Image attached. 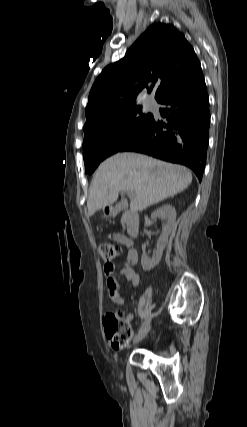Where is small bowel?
I'll list each match as a JSON object with an SVG mask.
<instances>
[{
    "instance_id": "small-bowel-1",
    "label": "small bowel",
    "mask_w": 247,
    "mask_h": 427,
    "mask_svg": "<svg viewBox=\"0 0 247 427\" xmlns=\"http://www.w3.org/2000/svg\"><path fill=\"white\" fill-rule=\"evenodd\" d=\"M114 239L127 247L129 251L127 253L126 259L122 268L120 269V274L126 278V280L133 286L137 287L140 282L139 273L134 269V266L138 262V253L132 248V242L123 235H115ZM104 274L106 276V282L108 287V294L111 302L116 306H121L124 303V299L120 294V283L115 278V265L113 263H107L104 265ZM134 316L128 314L125 320L130 323L133 320Z\"/></svg>"
}]
</instances>
